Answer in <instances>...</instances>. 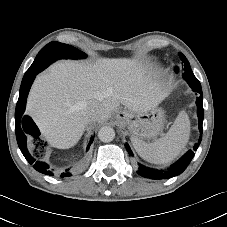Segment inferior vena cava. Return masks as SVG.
I'll use <instances>...</instances> for the list:
<instances>
[{
	"label": "inferior vena cava",
	"mask_w": 227,
	"mask_h": 227,
	"mask_svg": "<svg viewBox=\"0 0 227 227\" xmlns=\"http://www.w3.org/2000/svg\"><path fill=\"white\" fill-rule=\"evenodd\" d=\"M97 113H98V110L95 106H88L87 104H85V114L89 120L95 119V117L97 116Z\"/></svg>",
	"instance_id": "1"
}]
</instances>
